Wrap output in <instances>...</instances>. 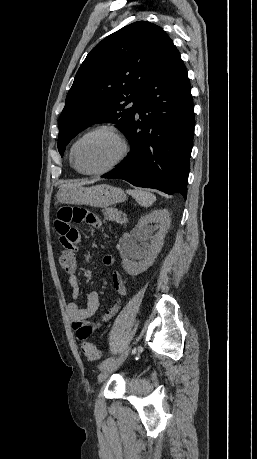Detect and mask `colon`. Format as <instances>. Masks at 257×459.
<instances>
[{"label":"colon","instance_id":"1","mask_svg":"<svg viewBox=\"0 0 257 459\" xmlns=\"http://www.w3.org/2000/svg\"><path fill=\"white\" fill-rule=\"evenodd\" d=\"M58 260L61 268L66 271H73L76 267V251L63 250L59 254ZM80 348L84 356L90 360H97L100 356L97 347L89 341H81Z\"/></svg>","mask_w":257,"mask_h":459}]
</instances>
